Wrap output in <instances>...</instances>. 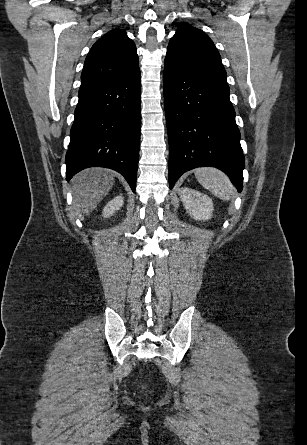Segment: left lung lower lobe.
Returning <instances> with one entry per match:
<instances>
[{
    "mask_svg": "<svg viewBox=\"0 0 307 445\" xmlns=\"http://www.w3.org/2000/svg\"><path fill=\"white\" fill-rule=\"evenodd\" d=\"M164 104L169 184L196 167L224 171L242 190L244 156L229 91L207 84L165 59Z\"/></svg>",
    "mask_w": 307,
    "mask_h": 445,
    "instance_id": "0a47b994",
    "label": "left lung lower lobe"
}]
</instances>
